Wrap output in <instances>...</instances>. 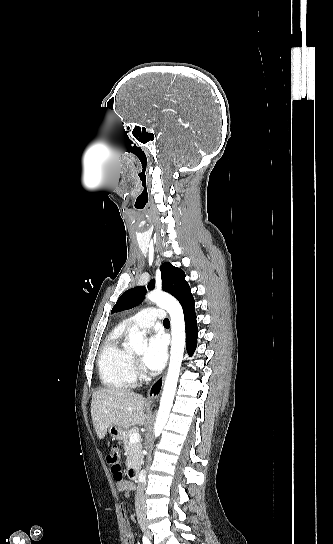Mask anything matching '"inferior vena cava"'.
Segmentation results:
<instances>
[{"label": "inferior vena cava", "instance_id": "1", "mask_svg": "<svg viewBox=\"0 0 333 544\" xmlns=\"http://www.w3.org/2000/svg\"><path fill=\"white\" fill-rule=\"evenodd\" d=\"M135 509L138 518H142L146 514V504L144 495V484L139 483L135 495Z\"/></svg>", "mask_w": 333, "mask_h": 544}]
</instances>
